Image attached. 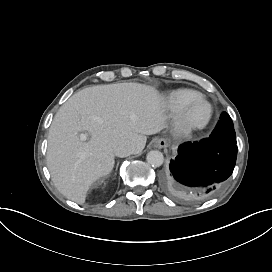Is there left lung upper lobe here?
I'll use <instances>...</instances> for the list:
<instances>
[{
    "mask_svg": "<svg viewBox=\"0 0 272 272\" xmlns=\"http://www.w3.org/2000/svg\"><path fill=\"white\" fill-rule=\"evenodd\" d=\"M210 138H215L236 144L234 125L232 119L226 112H223L221 114L220 120L213 132L211 133Z\"/></svg>",
    "mask_w": 272,
    "mask_h": 272,
    "instance_id": "1",
    "label": "left lung upper lobe"
}]
</instances>
